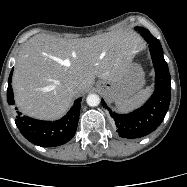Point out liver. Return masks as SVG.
Listing matches in <instances>:
<instances>
[{
	"instance_id": "1",
	"label": "liver",
	"mask_w": 187,
	"mask_h": 187,
	"mask_svg": "<svg viewBox=\"0 0 187 187\" xmlns=\"http://www.w3.org/2000/svg\"><path fill=\"white\" fill-rule=\"evenodd\" d=\"M139 37L118 30L81 39L37 34L18 53L12 87L19 109L26 115L53 120L64 115L73 98L93 86L95 78L120 80L139 47ZM77 82L78 91L68 87Z\"/></svg>"
}]
</instances>
